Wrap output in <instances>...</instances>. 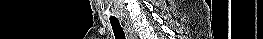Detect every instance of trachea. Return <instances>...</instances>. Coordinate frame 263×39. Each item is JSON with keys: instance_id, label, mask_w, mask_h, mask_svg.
<instances>
[{"instance_id": "obj_1", "label": "trachea", "mask_w": 263, "mask_h": 39, "mask_svg": "<svg viewBox=\"0 0 263 39\" xmlns=\"http://www.w3.org/2000/svg\"><path fill=\"white\" fill-rule=\"evenodd\" d=\"M111 26L116 39H125V33L117 18H110Z\"/></svg>"}]
</instances>
